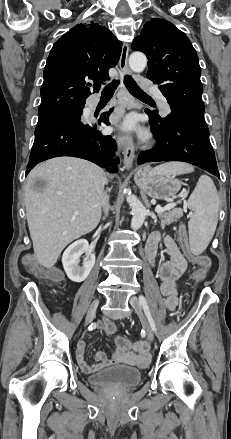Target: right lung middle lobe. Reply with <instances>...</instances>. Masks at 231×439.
Masks as SVG:
<instances>
[{
	"label": "right lung middle lobe",
	"mask_w": 231,
	"mask_h": 439,
	"mask_svg": "<svg viewBox=\"0 0 231 439\" xmlns=\"http://www.w3.org/2000/svg\"><path fill=\"white\" fill-rule=\"evenodd\" d=\"M82 113V109L80 110H75V111H71V112H67V113H63L60 115H56L50 118H46V119H39L37 126L49 123V122H53V121H58V120H68V119H73L76 118L78 116H80V114Z\"/></svg>",
	"instance_id": "obj_1"
}]
</instances>
